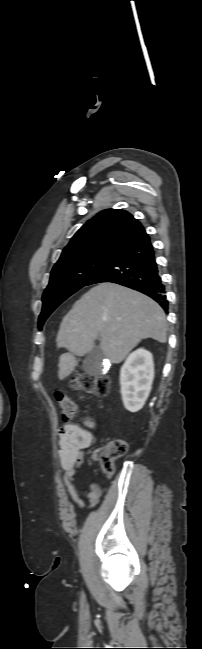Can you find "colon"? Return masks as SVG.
<instances>
[{"instance_id": "1", "label": "colon", "mask_w": 202, "mask_h": 649, "mask_svg": "<svg viewBox=\"0 0 202 649\" xmlns=\"http://www.w3.org/2000/svg\"><path fill=\"white\" fill-rule=\"evenodd\" d=\"M70 386L88 394L104 396L109 390V379L104 376L78 374L72 378ZM55 399L59 403L65 418H72L76 413V405L64 390L55 392ZM128 449L126 441L113 439L93 451V460L100 464L103 472L112 475L115 471V462L122 457Z\"/></svg>"}]
</instances>
